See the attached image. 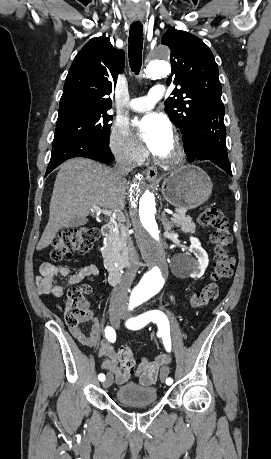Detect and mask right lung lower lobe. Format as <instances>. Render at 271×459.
<instances>
[{
  "label": "right lung lower lobe",
  "mask_w": 271,
  "mask_h": 459,
  "mask_svg": "<svg viewBox=\"0 0 271 459\" xmlns=\"http://www.w3.org/2000/svg\"><path fill=\"white\" fill-rule=\"evenodd\" d=\"M73 157H86L99 162H112L114 157L108 147V140L73 138L53 145L47 176L53 169Z\"/></svg>",
  "instance_id": "right-lung-lower-lobe-1"
}]
</instances>
